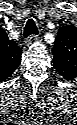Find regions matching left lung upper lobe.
<instances>
[{
    "mask_svg": "<svg viewBox=\"0 0 77 125\" xmlns=\"http://www.w3.org/2000/svg\"><path fill=\"white\" fill-rule=\"evenodd\" d=\"M53 66L77 67V28L63 26L58 30L55 46L52 49Z\"/></svg>",
    "mask_w": 77,
    "mask_h": 125,
    "instance_id": "5c2ea615",
    "label": "left lung upper lobe"
}]
</instances>
